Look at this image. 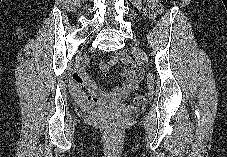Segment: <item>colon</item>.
<instances>
[{
  "label": "colon",
  "mask_w": 227,
  "mask_h": 157,
  "mask_svg": "<svg viewBox=\"0 0 227 157\" xmlns=\"http://www.w3.org/2000/svg\"><path fill=\"white\" fill-rule=\"evenodd\" d=\"M163 11L161 0H146V13L151 18L158 17ZM133 103L137 107L145 106L148 103L146 95H137L133 99ZM114 125V123H112Z\"/></svg>",
  "instance_id": "5ec220e1"
}]
</instances>
